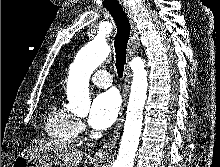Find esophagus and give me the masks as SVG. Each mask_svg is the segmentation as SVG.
I'll return each mask as SVG.
<instances>
[{
	"label": "esophagus",
	"instance_id": "obj_1",
	"mask_svg": "<svg viewBox=\"0 0 220 167\" xmlns=\"http://www.w3.org/2000/svg\"><path fill=\"white\" fill-rule=\"evenodd\" d=\"M124 11L129 19L130 26H131V32H130V39H129V44H128V53H127V61L125 64V69H124V83H123V89H122V107L121 111L117 120L116 127L108 139V141L96 152L95 158L97 160H105L107 159L113 152L117 141L120 137L121 129L123 126V120H124V110L127 104V98H128V93H129V87H130V60L134 56V54L137 52L140 42L138 39V31L136 28L134 16L132 9L124 5L123 6Z\"/></svg>",
	"mask_w": 220,
	"mask_h": 167
}]
</instances>
